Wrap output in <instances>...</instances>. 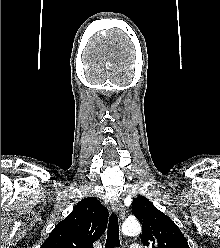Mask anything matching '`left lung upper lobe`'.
Segmentation results:
<instances>
[{
    "instance_id": "left-lung-upper-lobe-1",
    "label": "left lung upper lobe",
    "mask_w": 220,
    "mask_h": 248,
    "mask_svg": "<svg viewBox=\"0 0 220 248\" xmlns=\"http://www.w3.org/2000/svg\"><path fill=\"white\" fill-rule=\"evenodd\" d=\"M132 210L142 224L141 241L152 248H189L187 239L175 223L147 198L133 200Z\"/></svg>"
}]
</instances>
